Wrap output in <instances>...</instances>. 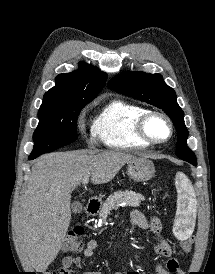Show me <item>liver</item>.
<instances>
[{"instance_id": "obj_1", "label": "liver", "mask_w": 215, "mask_h": 274, "mask_svg": "<svg viewBox=\"0 0 215 274\" xmlns=\"http://www.w3.org/2000/svg\"><path fill=\"white\" fill-rule=\"evenodd\" d=\"M132 158L119 151H69L36 160L15 223L17 245L37 272H45L62 247L71 221L72 191L87 175L93 184L108 183Z\"/></svg>"}]
</instances>
